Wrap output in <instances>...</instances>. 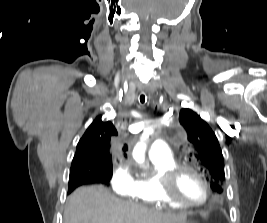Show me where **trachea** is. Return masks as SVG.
<instances>
[{"mask_svg":"<svg viewBox=\"0 0 267 223\" xmlns=\"http://www.w3.org/2000/svg\"><path fill=\"white\" fill-rule=\"evenodd\" d=\"M139 100H140V102H141L142 104L145 103L146 97H145V95H144L143 93L140 94Z\"/></svg>","mask_w":267,"mask_h":223,"instance_id":"1","label":"trachea"}]
</instances>
